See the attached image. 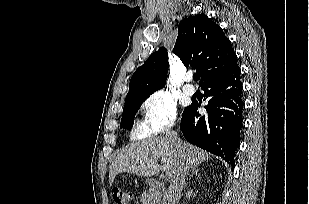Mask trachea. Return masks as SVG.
<instances>
[{"label":"trachea","instance_id":"3493384b","mask_svg":"<svg viewBox=\"0 0 309 204\" xmlns=\"http://www.w3.org/2000/svg\"><path fill=\"white\" fill-rule=\"evenodd\" d=\"M199 78H200L199 74H198V73H195V74H194V80L197 81V80H199Z\"/></svg>","mask_w":309,"mask_h":204}]
</instances>
